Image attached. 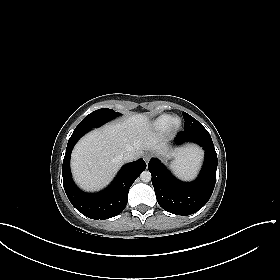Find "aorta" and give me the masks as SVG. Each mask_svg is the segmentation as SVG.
Wrapping results in <instances>:
<instances>
[{
    "instance_id": "obj_1",
    "label": "aorta",
    "mask_w": 280,
    "mask_h": 280,
    "mask_svg": "<svg viewBox=\"0 0 280 280\" xmlns=\"http://www.w3.org/2000/svg\"><path fill=\"white\" fill-rule=\"evenodd\" d=\"M151 173L147 170L143 171L141 174H140V179L143 181V182H149L151 180Z\"/></svg>"
}]
</instances>
